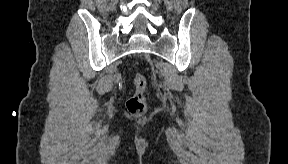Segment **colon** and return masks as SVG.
<instances>
[{"label": "colon", "instance_id": "colon-1", "mask_svg": "<svg viewBox=\"0 0 288 164\" xmlns=\"http://www.w3.org/2000/svg\"><path fill=\"white\" fill-rule=\"evenodd\" d=\"M135 91L133 95L126 101V108L129 114L133 116H142L146 112L147 98L146 93L148 83L145 77L141 74L134 76Z\"/></svg>", "mask_w": 288, "mask_h": 164}]
</instances>
